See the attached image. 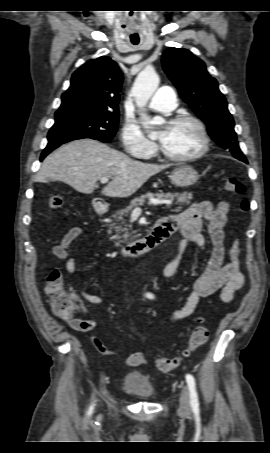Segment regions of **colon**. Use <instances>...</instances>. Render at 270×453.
Masks as SVG:
<instances>
[{"instance_id":"1","label":"colon","mask_w":270,"mask_h":453,"mask_svg":"<svg viewBox=\"0 0 270 453\" xmlns=\"http://www.w3.org/2000/svg\"><path fill=\"white\" fill-rule=\"evenodd\" d=\"M226 191L241 195L245 192L244 184L237 178H228L224 183ZM49 205L54 210L64 208V200L60 195H52L49 198ZM241 208H248V201L241 202ZM46 292L49 295V303L52 311L61 317L72 316L76 313L78 301L73 294L68 293L64 288V275L60 269L50 270L46 277ZM209 330L206 326V319L201 318L200 324L192 331L186 347L180 356L174 358L162 357L157 360L156 366L159 370L167 372L175 369L182 359L190 357L193 352L205 344L208 340Z\"/></svg>"}]
</instances>
